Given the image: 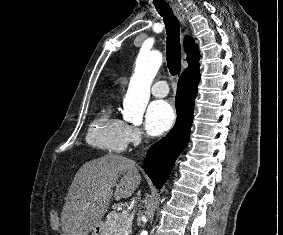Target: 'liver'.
Wrapping results in <instances>:
<instances>
[{"instance_id":"1","label":"liver","mask_w":283,"mask_h":235,"mask_svg":"<svg viewBox=\"0 0 283 235\" xmlns=\"http://www.w3.org/2000/svg\"><path fill=\"white\" fill-rule=\"evenodd\" d=\"M140 182L135 162L119 154H106L83 164L61 213L63 235H88L107 212L112 197L129 198Z\"/></svg>"}]
</instances>
